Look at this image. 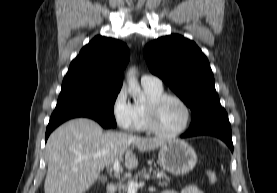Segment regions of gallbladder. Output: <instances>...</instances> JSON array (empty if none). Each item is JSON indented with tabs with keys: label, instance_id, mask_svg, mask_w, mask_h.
Masks as SVG:
<instances>
[{
	"label": "gallbladder",
	"instance_id": "1",
	"mask_svg": "<svg viewBox=\"0 0 277 193\" xmlns=\"http://www.w3.org/2000/svg\"><path fill=\"white\" fill-rule=\"evenodd\" d=\"M99 181H101V182H106V181H107V177H105V176H100V177H99Z\"/></svg>",
	"mask_w": 277,
	"mask_h": 193
}]
</instances>
